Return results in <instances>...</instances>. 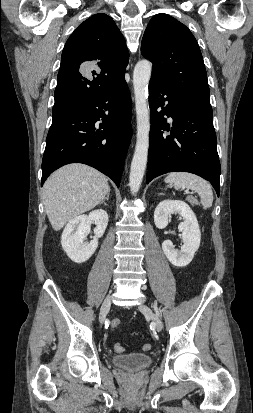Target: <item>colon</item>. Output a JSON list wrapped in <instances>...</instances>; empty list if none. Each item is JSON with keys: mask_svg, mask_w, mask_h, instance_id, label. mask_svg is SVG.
Wrapping results in <instances>:
<instances>
[{"mask_svg": "<svg viewBox=\"0 0 253 413\" xmlns=\"http://www.w3.org/2000/svg\"><path fill=\"white\" fill-rule=\"evenodd\" d=\"M120 326H121V321L119 319H113L110 322V328L113 329V330L118 329ZM142 348H143L144 351H149L152 348V346H151L150 343H146V344L143 345ZM114 349L117 352H122L124 350V348L119 344H116L114 346Z\"/></svg>", "mask_w": 253, "mask_h": 413, "instance_id": "colon-1", "label": "colon"}]
</instances>
